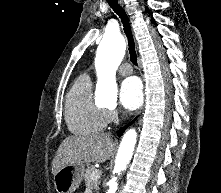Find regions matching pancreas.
<instances>
[{
  "label": "pancreas",
  "mask_w": 221,
  "mask_h": 193,
  "mask_svg": "<svg viewBox=\"0 0 221 193\" xmlns=\"http://www.w3.org/2000/svg\"><path fill=\"white\" fill-rule=\"evenodd\" d=\"M95 170L96 168L94 166H88L84 174V180H85L86 186H88L90 190H95L97 192L99 190V184H100L99 177L96 179H91V174Z\"/></svg>",
  "instance_id": "pancreas-1"
}]
</instances>
